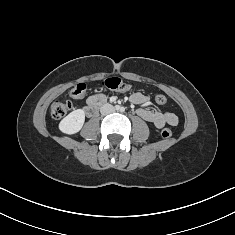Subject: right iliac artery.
Here are the masks:
<instances>
[{"label":"right iliac artery","instance_id":"82829eb1","mask_svg":"<svg viewBox=\"0 0 235 235\" xmlns=\"http://www.w3.org/2000/svg\"><path fill=\"white\" fill-rule=\"evenodd\" d=\"M116 110H118L120 107L118 105L115 106Z\"/></svg>","mask_w":235,"mask_h":235}]
</instances>
